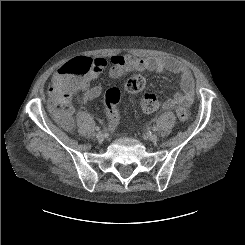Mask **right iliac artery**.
<instances>
[{"label":"right iliac artery","mask_w":245,"mask_h":245,"mask_svg":"<svg viewBox=\"0 0 245 245\" xmlns=\"http://www.w3.org/2000/svg\"><path fill=\"white\" fill-rule=\"evenodd\" d=\"M95 129H96V131H99L100 130V128L97 126V127H95Z\"/></svg>","instance_id":"1"}]
</instances>
